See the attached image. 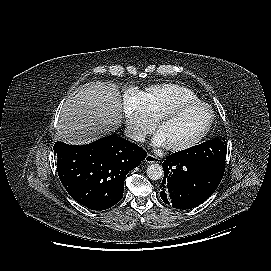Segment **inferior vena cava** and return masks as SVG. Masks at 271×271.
I'll list each match as a JSON object with an SVG mask.
<instances>
[{
    "label": "inferior vena cava",
    "mask_w": 271,
    "mask_h": 271,
    "mask_svg": "<svg viewBox=\"0 0 271 271\" xmlns=\"http://www.w3.org/2000/svg\"><path fill=\"white\" fill-rule=\"evenodd\" d=\"M126 137L138 141V142H144L145 141V134L140 132V131H136L134 129H130V128H126L124 131Z\"/></svg>",
    "instance_id": "obj_1"
}]
</instances>
